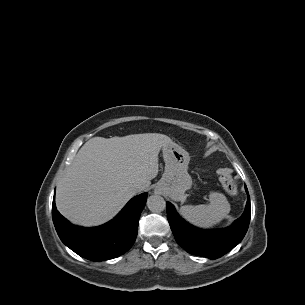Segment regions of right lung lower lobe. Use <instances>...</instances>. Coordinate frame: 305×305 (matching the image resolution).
<instances>
[{
  "mask_svg": "<svg viewBox=\"0 0 305 305\" xmlns=\"http://www.w3.org/2000/svg\"><path fill=\"white\" fill-rule=\"evenodd\" d=\"M146 200L147 193L132 198L114 219L98 227L71 224L58 212L55 200L52 218L60 239L72 251L93 261L109 260L124 254L135 242Z\"/></svg>",
  "mask_w": 305,
  "mask_h": 305,
  "instance_id": "1",
  "label": "right lung lower lobe"
}]
</instances>
